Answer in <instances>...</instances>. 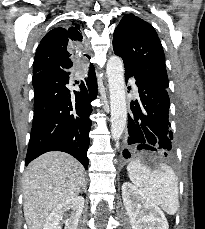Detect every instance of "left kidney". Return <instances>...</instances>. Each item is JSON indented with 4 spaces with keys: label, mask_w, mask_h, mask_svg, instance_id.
<instances>
[{
    "label": "left kidney",
    "mask_w": 205,
    "mask_h": 229,
    "mask_svg": "<svg viewBox=\"0 0 205 229\" xmlns=\"http://www.w3.org/2000/svg\"><path fill=\"white\" fill-rule=\"evenodd\" d=\"M122 198L132 229H169L163 211L130 182L122 185Z\"/></svg>",
    "instance_id": "1"
}]
</instances>
